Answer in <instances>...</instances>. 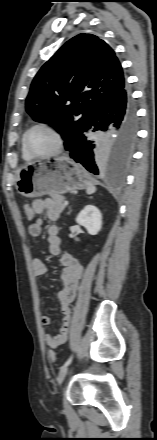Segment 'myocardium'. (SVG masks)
<instances>
[{
  "mask_svg": "<svg viewBox=\"0 0 157 440\" xmlns=\"http://www.w3.org/2000/svg\"><path fill=\"white\" fill-rule=\"evenodd\" d=\"M36 128L47 129L48 131H50L54 135V137L56 139V146L51 152H49L47 154H35L30 150V148L28 146V136H29L30 132ZM23 146H24V149L26 150V152L31 157H48V156H53V155L59 154L64 149L65 141H64V137H63L61 130L57 126H55L51 123H48V122H38V123L32 125L30 128H28L27 131L25 132V134L23 136Z\"/></svg>",
  "mask_w": 157,
  "mask_h": 440,
  "instance_id": "myocardium-1",
  "label": "myocardium"
}]
</instances>
